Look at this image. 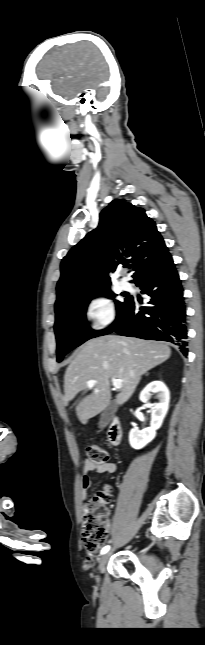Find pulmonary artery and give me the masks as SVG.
Wrapping results in <instances>:
<instances>
[{"label": "pulmonary artery", "instance_id": "e3ab8cb5", "mask_svg": "<svg viewBox=\"0 0 205 645\" xmlns=\"http://www.w3.org/2000/svg\"><path fill=\"white\" fill-rule=\"evenodd\" d=\"M119 284H120V287L123 290H130L131 289V284L129 283V281L126 278H121Z\"/></svg>", "mask_w": 205, "mask_h": 645}]
</instances>
